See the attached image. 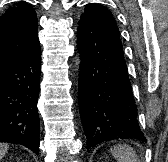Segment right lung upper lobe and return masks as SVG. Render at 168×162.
<instances>
[{
    "label": "right lung upper lobe",
    "mask_w": 168,
    "mask_h": 162,
    "mask_svg": "<svg viewBox=\"0 0 168 162\" xmlns=\"http://www.w3.org/2000/svg\"><path fill=\"white\" fill-rule=\"evenodd\" d=\"M38 20L26 2L10 7L0 18V67L40 48Z\"/></svg>",
    "instance_id": "cb5924a9"
}]
</instances>
